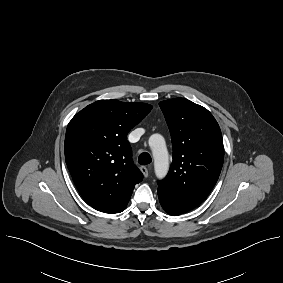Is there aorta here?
<instances>
[{
  "instance_id": "obj_1",
  "label": "aorta",
  "mask_w": 283,
  "mask_h": 283,
  "mask_svg": "<svg viewBox=\"0 0 283 283\" xmlns=\"http://www.w3.org/2000/svg\"><path fill=\"white\" fill-rule=\"evenodd\" d=\"M149 146L151 147L154 158L155 174L157 178L163 179L169 169V155L163 136L160 134L151 135Z\"/></svg>"
}]
</instances>
